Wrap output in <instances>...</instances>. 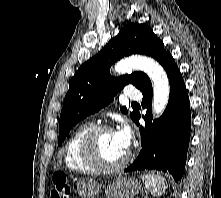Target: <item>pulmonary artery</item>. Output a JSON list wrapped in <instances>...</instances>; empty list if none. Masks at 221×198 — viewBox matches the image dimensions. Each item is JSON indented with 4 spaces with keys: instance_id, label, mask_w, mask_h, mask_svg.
<instances>
[{
    "instance_id": "pulmonary-artery-1",
    "label": "pulmonary artery",
    "mask_w": 221,
    "mask_h": 198,
    "mask_svg": "<svg viewBox=\"0 0 221 198\" xmlns=\"http://www.w3.org/2000/svg\"><path fill=\"white\" fill-rule=\"evenodd\" d=\"M125 95L131 100H140L142 98L141 92L134 88L127 89Z\"/></svg>"
}]
</instances>
